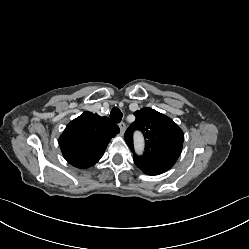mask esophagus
Here are the masks:
<instances>
[{
    "label": "esophagus",
    "mask_w": 249,
    "mask_h": 249,
    "mask_svg": "<svg viewBox=\"0 0 249 249\" xmlns=\"http://www.w3.org/2000/svg\"><path fill=\"white\" fill-rule=\"evenodd\" d=\"M119 128H120V131H121V134L124 135V132L126 130V125L124 122H120L119 123Z\"/></svg>",
    "instance_id": "esophagus-1"
}]
</instances>
